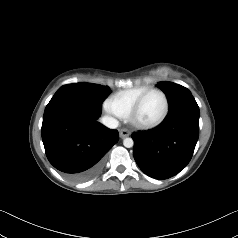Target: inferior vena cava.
<instances>
[{"mask_svg":"<svg viewBox=\"0 0 238 238\" xmlns=\"http://www.w3.org/2000/svg\"><path fill=\"white\" fill-rule=\"evenodd\" d=\"M101 123L110 129H116L119 125V122L110 116H104L101 118Z\"/></svg>","mask_w":238,"mask_h":238,"instance_id":"inferior-vena-cava-1","label":"inferior vena cava"}]
</instances>
